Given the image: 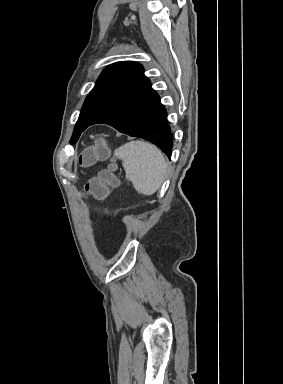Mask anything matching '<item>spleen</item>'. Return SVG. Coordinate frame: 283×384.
Instances as JSON below:
<instances>
[{"instance_id": "spleen-1", "label": "spleen", "mask_w": 283, "mask_h": 384, "mask_svg": "<svg viewBox=\"0 0 283 384\" xmlns=\"http://www.w3.org/2000/svg\"><path fill=\"white\" fill-rule=\"evenodd\" d=\"M114 156L122 160L127 180L132 182L138 194L152 196L166 176L165 158L156 146L148 142H128L114 150Z\"/></svg>"}]
</instances>
